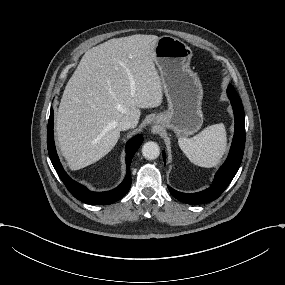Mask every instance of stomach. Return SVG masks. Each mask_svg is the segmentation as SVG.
<instances>
[{
    "label": "stomach",
    "mask_w": 285,
    "mask_h": 285,
    "mask_svg": "<svg viewBox=\"0 0 285 285\" xmlns=\"http://www.w3.org/2000/svg\"><path fill=\"white\" fill-rule=\"evenodd\" d=\"M192 52L170 36L161 37L155 49V63L161 73L169 110L158 114L156 130L173 129L179 136L191 135L202 124V85L190 67Z\"/></svg>",
    "instance_id": "stomach-1"
}]
</instances>
